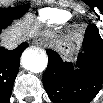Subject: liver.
<instances>
[{
  "instance_id": "liver-1",
  "label": "liver",
  "mask_w": 103,
  "mask_h": 103,
  "mask_svg": "<svg viewBox=\"0 0 103 103\" xmlns=\"http://www.w3.org/2000/svg\"><path fill=\"white\" fill-rule=\"evenodd\" d=\"M33 15H27L24 20L18 22L14 27L6 31L2 37L3 43L8 41L17 42L18 44L24 41L27 37L34 36L38 33V24L34 22ZM45 36L54 37L55 35L50 32H43Z\"/></svg>"
}]
</instances>
